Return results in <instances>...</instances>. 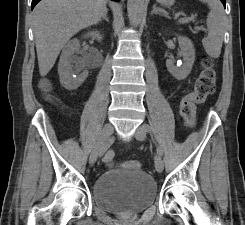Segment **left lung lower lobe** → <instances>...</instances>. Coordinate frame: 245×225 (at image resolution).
I'll return each instance as SVG.
<instances>
[{
  "mask_svg": "<svg viewBox=\"0 0 245 225\" xmlns=\"http://www.w3.org/2000/svg\"><path fill=\"white\" fill-rule=\"evenodd\" d=\"M222 3H223V5L225 6V4H226V0H220Z\"/></svg>",
  "mask_w": 245,
  "mask_h": 225,
  "instance_id": "0a47b994",
  "label": "left lung lower lobe"
}]
</instances>
